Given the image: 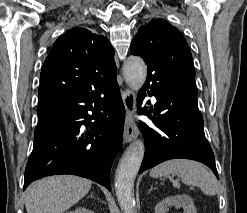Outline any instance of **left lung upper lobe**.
Here are the masks:
<instances>
[{
	"mask_svg": "<svg viewBox=\"0 0 247 213\" xmlns=\"http://www.w3.org/2000/svg\"><path fill=\"white\" fill-rule=\"evenodd\" d=\"M130 51L146 62L147 80L154 79L161 85L182 82L197 94L190 49L182 34L166 20H151L142 26Z\"/></svg>",
	"mask_w": 247,
	"mask_h": 213,
	"instance_id": "1",
	"label": "left lung upper lobe"
}]
</instances>
